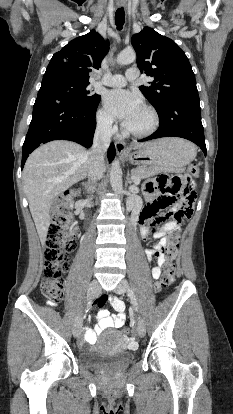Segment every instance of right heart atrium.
Segmentation results:
<instances>
[{"label":"right heart atrium","mask_w":233,"mask_h":414,"mask_svg":"<svg viewBox=\"0 0 233 414\" xmlns=\"http://www.w3.org/2000/svg\"><path fill=\"white\" fill-rule=\"evenodd\" d=\"M96 125L103 134H110L114 129L113 118L102 108L96 111Z\"/></svg>","instance_id":"obj_1"}]
</instances>
